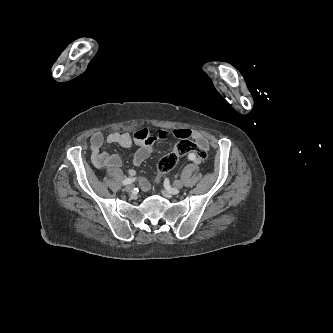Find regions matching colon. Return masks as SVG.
<instances>
[{"mask_svg": "<svg viewBox=\"0 0 333 333\" xmlns=\"http://www.w3.org/2000/svg\"><path fill=\"white\" fill-rule=\"evenodd\" d=\"M193 154L197 163H202L207 158V150L198 146L189 138L181 139L175 146L174 150L163 156L158 164L159 176L157 183L161 182L162 176L169 173L176 166L179 157Z\"/></svg>", "mask_w": 333, "mask_h": 333, "instance_id": "5ec220e1", "label": "colon"}]
</instances>
